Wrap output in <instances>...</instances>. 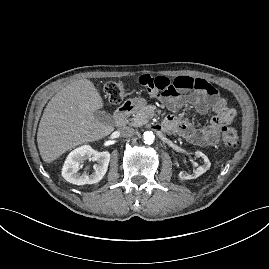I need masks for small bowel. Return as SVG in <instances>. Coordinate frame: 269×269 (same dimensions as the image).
<instances>
[{"instance_id": "1", "label": "small bowel", "mask_w": 269, "mask_h": 269, "mask_svg": "<svg viewBox=\"0 0 269 269\" xmlns=\"http://www.w3.org/2000/svg\"><path fill=\"white\" fill-rule=\"evenodd\" d=\"M145 92L154 94L155 98L167 102L171 109L183 104H192L200 114L213 110L214 115L204 127L169 116L165 127L184 137L197 146L214 145L219 139L223 126L233 122L236 116L234 108L227 105L226 100L206 80L188 76L177 77L176 80L158 73L144 75L139 79Z\"/></svg>"}]
</instances>
